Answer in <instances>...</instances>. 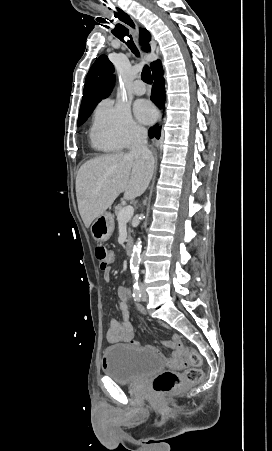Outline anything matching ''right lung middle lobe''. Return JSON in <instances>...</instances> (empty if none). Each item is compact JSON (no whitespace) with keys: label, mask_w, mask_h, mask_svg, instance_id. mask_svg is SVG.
Instances as JSON below:
<instances>
[{"label":"right lung middle lobe","mask_w":272,"mask_h":451,"mask_svg":"<svg viewBox=\"0 0 272 451\" xmlns=\"http://www.w3.org/2000/svg\"><path fill=\"white\" fill-rule=\"evenodd\" d=\"M93 108L90 109H80L79 112V118H78V126H80L81 124H83L87 118L89 117V115L92 113Z\"/></svg>","instance_id":"obj_1"}]
</instances>
